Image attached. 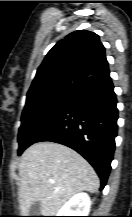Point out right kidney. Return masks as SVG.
Listing matches in <instances>:
<instances>
[{
    "mask_svg": "<svg viewBox=\"0 0 132 217\" xmlns=\"http://www.w3.org/2000/svg\"><path fill=\"white\" fill-rule=\"evenodd\" d=\"M90 197L86 193L73 196L56 214L57 216H88L90 211Z\"/></svg>",
    "mask_w": 132,
    "mask_h": 217,
    "instance_id": "1",
    "label": "right kidney"
}]
</instances>
